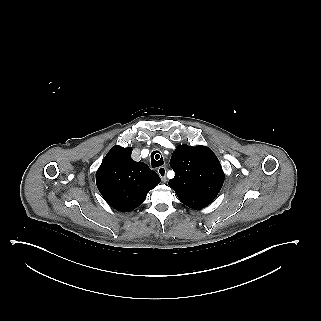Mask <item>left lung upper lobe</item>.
Returning a JSON list of instances; mask_svg holds the SVG:
<instances>
[{"mask_svg":"<svg viewBox=\"0 0 321 321\" xmlns=\"http://www.w3.org/2000/svg\"><path fill=\"white\" fill-rule=\"evenodd\" d=\"M170 165L175 177L169 181V186L179 199L217 196L223 185L224 173L220 162L206 146L179 145L172 154Z\"/></svg>","mask_w":321,"mask_h":321,"instance_id":"1","label":"left lung upper lobe"}]
</instances>
